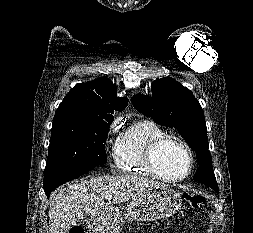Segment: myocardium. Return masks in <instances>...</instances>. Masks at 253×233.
I'll return each mask as SVG.
<instances>
[{
    "label": "myocardium",
    "instance_id": "f54148a6",
    "mask_svg": "<svg viewBox=\"0 0 253 233\" xmlns=\"http://www.w3.org/2000/svg\"><path fill=\"white\" fill-rule=\"evenodd\" d=\"M168 144H176L182 148H184V150L187 152L188 157H189V167L188 170L186 171V173L182 176L179 177H169V176H165L163 175L156 163V157L158 152L166 145ZM145 163L147 165V167L149 168V170L152 172V174L157 177L160 180L166 181V182H179V181H183L186 178H188L193 169H194V165H195V157H194V152L192 150V148L189 146V144L187 142H185L184 140L172 136V135H165L163 137H160L158 139L153 140L149 146L148 149L146 151V156H145Z\"/></svg>",
    "mask_w": 253,
    "mask_h": 233
}]
</instances>
